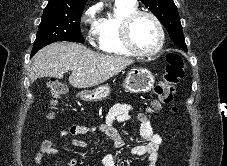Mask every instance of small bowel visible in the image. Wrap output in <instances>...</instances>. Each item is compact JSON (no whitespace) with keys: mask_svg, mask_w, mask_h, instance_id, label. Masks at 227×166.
<instances>
[{"mask_svg":"<svg viewBox=\"0 0 227 166\" xmlns=\"http://www.w3.org/2000/svg\"><path fill=\"white\" fill-rule=\"evenodd\" d=\"M132 109L129 104H115L106 115L105 124H97L92 126L86 125H73L68 128L62 129L60 134L62 136L72 135L80 136L90 132H101L105 134L111 141L112 145L120 149L127 143L126 139L120 134L115 127L117 121H127L129 119V112ZM140 130L137 135L138 145L134 146L130 150V154L133 156H146L147 166H157L159 162V147L163 141L162 137L153 132L150 120L143 114L139 115ZM71 144L75 147L90 148V145L81 139H73ZM59 149L54 145L50 139H45L38 151L34 156V164L40 166L43 163L45 156L57 155ZM104 166H115V155L108 153L103 159ZM80 158L74 156L72 158L65 159L64 166H77Z\"/></svg>","mask_w":227,"mask_h":166,"instance_id":"1","label":"small bowel"}]
</instances>
